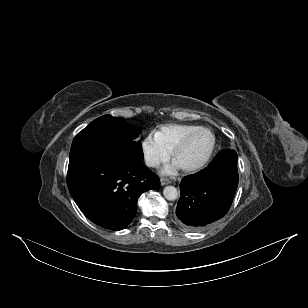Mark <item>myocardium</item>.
Returning <instances> with one entry per match:
<instances>
[{
    "mask_svg": "<svg viewBox=\"0 0 308 308\" xmlns=\"http://www.w3.org/2000/svg\"><path fill=\"white\" fill-rule=\"evenodd\" d=\"M201 132H208L211 136H212V145H211V148L209 150V152L207 153L206 157L201 161L199 162L198 164L196 165H193V166H189V167H184V168H181V170L184 172V173H195V172H198L200 170H202L203 168H205L209 162L211 161L215 151H216V147H217V138H216V135L215 133L210 129V128H207V127H199L195 130H193L192 132L188 133L175 147L174 149L172 150L171 152V156H172V159L175 160L176 156L181 153L186 147L187 145L190 143V141L199 133Z\"/></svg>",
    "mask_w": 308,
    "mask_h": 308,
    "instance_id": "obj_1",
    "label": "myocardium"
}]
</instances>
